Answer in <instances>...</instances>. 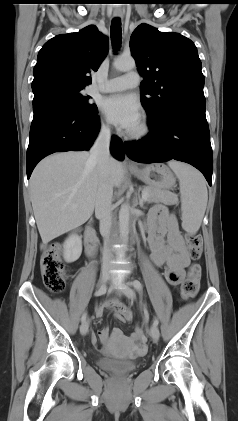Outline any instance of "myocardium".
Wrapping results in <instances>:
<instances>
[{
	"label": "myocardium",
	"mask_w": 238,
	"mask_h": 421,
	"mask_svg": "<svg viewBox=\"0 0 238 421\" xmlns=\"http://www.w3.org/2000/svg\"><path fill=\"white\" fill-rule=\"evenodd\" d=\"M149 134V126L148 123L143 120L139 123V126L136 130L130 131L127 134V137L133 141H139L145 139Z\"/></svg>",
	"instance_id": "myocardium-1"
}]
</instances>
